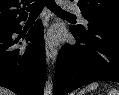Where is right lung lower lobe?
<instances>
[{"mask_svg": "<svg viewBox=\"0 0 119 95\" xmlns=\"http://www.w3.org/2000/svg\"><path fill=\"white\" fill-rule=\"evenodd\" d=\"M19 24L0 32V86L18 95H42L46 78L43 26L38 21L25 36L31 43L25 49L15 47Z\"/></svg>", "mask_w": 119, "mask_h": 95, "instance_id": "98d812e1", "label": "right lung lower lobe"}]
</instances>
